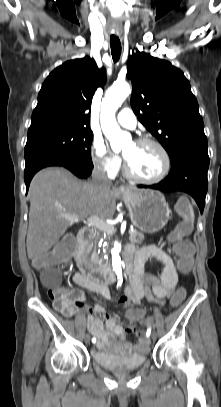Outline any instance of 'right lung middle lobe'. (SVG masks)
<instances>
[{
    "label": "right lung middle lobe",
    "mask_w": 221,
    "mask_h": 407,
    "mask_svg": "<svg viewBox=\"0 0 221 407\" xmlns=\"http://www.w3.org/2000/svg\"><path fill=\"white\" fill-rule=\"evenodd\" d=\"M92 139L90 129L73 126L52 125L29 129L25 161L39 153L52 152L93 168L90 153Z\"/></svg>",
    "instance_id": "dd1d6c3e"
}]
</instances>
